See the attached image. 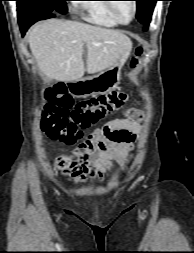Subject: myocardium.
I'll use <instances>...</instances> for the list:
<instances>
[{
    "instance_id": "1",
    "label": "myocardium",
    "mask_w": 194,
    "mask_h": 253,
    "mask_svg": "<svg viewBox=\"0 0 194 253\" xmlns=\"http://www.w3.org/2000/svg\"><path fill=\"white\" fill-rule=\"evenodd\" d=\"M110 2H108V7L112 13V15L114 16V18L120 23V24H128L130 23L136 16L137 10H138V4L135 0H132L133 2V6H134V10H133V14L131 16V18L127 21H124L120 15L118 14V11L116 9L115 6V2H113L114 0H109Z\"/></svg>"
}]
</instances>
